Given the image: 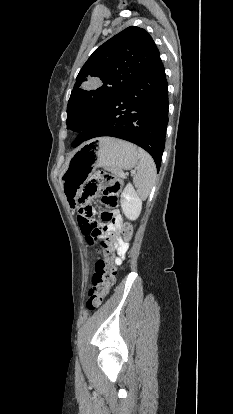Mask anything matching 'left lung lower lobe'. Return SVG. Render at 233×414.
Wrapping results in <instances>:
<instances>
[{"instance_id":"obj_1","label":"left lung lower lobe","mask_w":233,"mask_h":414,"mask_svg":"<svg viewBox=\"0 0 233 414\" xmlns=\"http://www.w3.org/2000/svg\"><path fill=\"white\" fill-rule=\"evenodd\" d=\"M168 105L165 69L158 56L136 81L83 128L85 131L72 146L75 148L101 136L124 139L146 150L159 171L165 146Z\"/></svg>"}]
</instances>
